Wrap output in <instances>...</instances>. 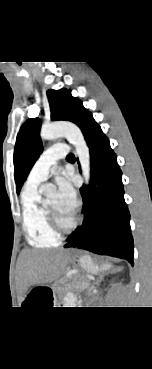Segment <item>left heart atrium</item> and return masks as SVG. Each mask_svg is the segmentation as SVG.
<instances>
[{"label": "left heart atrium", "mask_w": 152, "mask_h": 369, "mask_svg": "<svg viewBox=\"0 0 152 369\" xmlns=\"http://www.w3.org/2000/svg\"><path fill=\"white\" fill-rule=\"evenodd\" d=\"M57 186V196L61 209L65 213L73 215L77 209L78 200L72 184L68 179L60 177L57 179Z\"/></svg>", "instance_id": "1"}]
</instances>
